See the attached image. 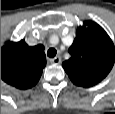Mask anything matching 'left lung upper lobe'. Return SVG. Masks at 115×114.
<instances>
[{
  "label": "left lung upper lobe",
  "mask_w": 115,
  "mask_h": 114,
  "mask_svg": "<svg viewBox=\"0 0 115 114\" xmlns=\"http://www.w3.org/2000/svg\"><path fill=\"white\" fill-rule=\"evenodd\" d=\"M87 26V27H86ZM71 58L62 63L70 80L77 86L91 87L101 82L115 62V47L104 29L85 21L76 31L69 48Z\"/></svg>",
  "instance_id": "1"
}]
</instances>
